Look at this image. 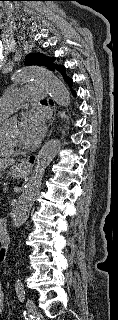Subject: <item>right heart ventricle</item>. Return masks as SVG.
Here are the masks:
<instances>
[{"mask_svg": "<svg viewBox=\"0 0 118 320\" xmlns=\"http://www.w3.org/2000/svg\"><path fill=\"white\" fill-rule=\"evenodd\" d=\"M5 115L0 113V123ZM13 153V148L4 140L3 134L0 131V157L9 156Z\"/></svg>", "mask_w": 118, "mask_h": 320, "instance_id": "obj_1", "label": "right heart ventricle"}]
</instances>
